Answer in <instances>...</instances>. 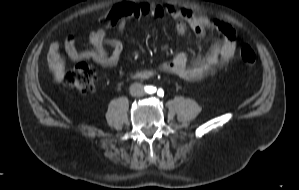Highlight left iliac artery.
Returning <instances> with one entry per match:
<instances>
[{
    "instance_id": "obj_1",
    "label": "left iliac artery",
    "mask_w": 299,
    "mask_h": 190,
    "mask_svg": "<svg viewBox=\"0 0 299 190\" xmlns=\"http://www.w3.org/2000/svg\"><path fill=\"white\" fill-rule=\"evenodd\" d=\"M162 93V90L161 89H159L158 90V95H160Z\"/></svg>"
}]
</instances>
